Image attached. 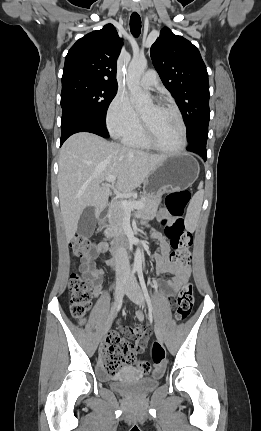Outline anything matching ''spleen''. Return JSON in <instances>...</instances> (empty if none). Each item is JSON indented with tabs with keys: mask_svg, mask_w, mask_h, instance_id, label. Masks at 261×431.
Listing matches in <instances>:
<instances>
[{
	"mask_svg": "<svg viewBox=\"0 0 261 431\" xmlns=\"http://www.w3.org/2000/svg\"><path fill=\"white\" fill-rule=\"evenodd\" d=\"M202 188H203V182L199 184L198 191L191 199V202L189 205V212H192L194 215H199L201 211V206H202L203 196H204V191Z\"/></svg>",
	"mask_w": 261,
	"mask_h": 431,
	"instance_id": "1",
	"label": "spleen"
}]
</instances>
